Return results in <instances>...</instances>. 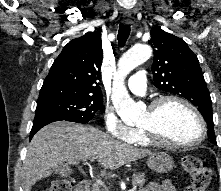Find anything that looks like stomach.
I'll use <instances>...</instances> for the list:
<instances>
[{
    "label": "stomach",
    "instance_id": "0dacf381",
    "mask_svg": "<svg viewBox=\"0 0 221 191\" xmlns=\"http://www.w3.org/2000/svg\"><path fill=\"white\" fill-rule=\"evenodd\" d=\"M148 167L157 173H167L173 166L174 162L170 155L165 152L152 153L147 160Z\"/></svg>",
    "mask_w": 221,
    "mask_h": 191
}]
</instances>
